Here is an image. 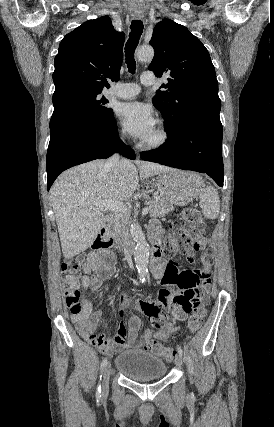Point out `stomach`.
<instances>
[{
  "label": "stomach",
  "mask_w": 274,
  "mask_h": 427,
  "mask_svg": "<svg viewBox=\"0 0 274 427\" xmlns=\"http://www.w3.org/2000/svg\"><path fill=\"white\" fill-rule=\"evenodd\" d=\"M198 180H200L198 174L169 170V172L158 174L154 184L161 188V192L168 202L175 206H185L193 200Z\"/></svg>",
  "instance_id": "obj_1"
}]
</instances>
